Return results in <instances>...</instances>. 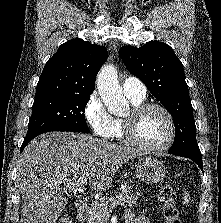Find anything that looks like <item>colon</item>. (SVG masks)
Masks as SVG:
<instances>
[{
	"label": "colon",
	"mask_w": 221,
	"mask_h": 223,
	"mask_svg": "<svg viewBox=\"0 0 221 223\" xmlns=\"http://www.w3.org/2000/svg\"><path fill=\"white\" fill-rule=\"evenodd\" d=\"M175 199L176 193L173 186L169 182H164L159 188V200L165 223H182ZM58 223H72V221L68 216H62Z\"/></svg>",
	"instance_id": "colon-1"
}]
</instances>
